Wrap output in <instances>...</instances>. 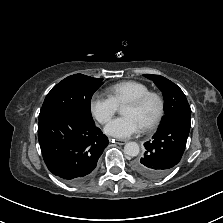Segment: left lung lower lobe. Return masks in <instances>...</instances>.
<instances>
[{"label": "left lung lower lobe", "instance_id": "0a47b994", "mask_svg": "<svg viewBox=\"0 0 223 223\" xmlns=\"http://www.w3.org/2000/svg\"><path fill=\"white\" fill-rule=\"evenodd\" d=\"M190 131V124L175 120L162 127L152 140L144 143V155L134 161L133 168L148 179L167 175L181 160Z\"/></svg>", "mask_w": 223, "mask_h": 223}]
</instances>
